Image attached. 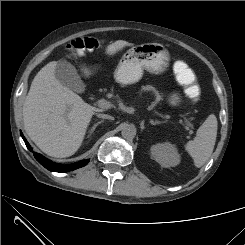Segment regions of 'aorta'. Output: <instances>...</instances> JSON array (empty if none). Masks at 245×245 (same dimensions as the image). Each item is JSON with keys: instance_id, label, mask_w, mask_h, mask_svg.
Here are the masks:
<instances>
[{"instance_id": "762f6f07", "label": "aorta", "mask_w": 245, "mask_h": 245, "mask_svg": "<svg viewBox=\"0 0 245 245\" xmlns=\"http://www.w3.org/2000/svg\"><path fill=\"white\" fill-rule=\"evenodd\" d=\"M121 134L125 139H133L136 136V127L133 124H126L122 128Z\"/></svg>"}]
</instances>
